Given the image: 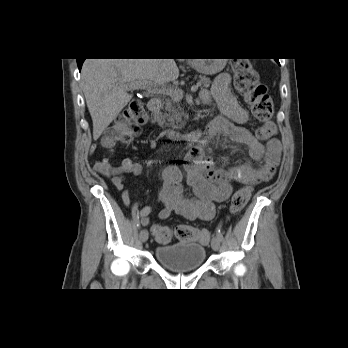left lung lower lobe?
Segmentation results:
<instances>
[{
	"mask_svg": "<svg viewBox=\"0 0 348 348\" xmlns=\"http://www.w3.org/2000/svg\"><path fill=\"white\" fill-rule=\"evenodd\" d=\"M276 60V62L279 64V61L277 60V59H275Z\"/></svg>",
	"mask_w": 348,
	"mask_h": 348,
	"instance_id": "left-lung-lower-lobe-1",
	"label": "left lung lower lobe"
}]
</instances>
